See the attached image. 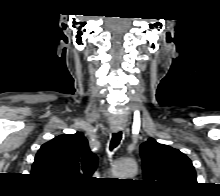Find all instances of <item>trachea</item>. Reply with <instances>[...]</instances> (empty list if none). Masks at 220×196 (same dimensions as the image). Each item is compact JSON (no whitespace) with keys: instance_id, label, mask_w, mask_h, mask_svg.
<instances>
[{"instance_id":"trachea-1","label":"trachea","mask_w":220,"mask_h":196,"mask_svg":"<svg viewBox=\"0 0 220 196\" xmlns=\"http://www.w3.org/2000/svg\"><path fill=\"white\" fill-rule=\"evenodd\" d=\"M121 139H122V132L119 131L117 133H114L112 135V139L110 142V150L116 148L120 144Z\"/></svg>"}]
</instances>
